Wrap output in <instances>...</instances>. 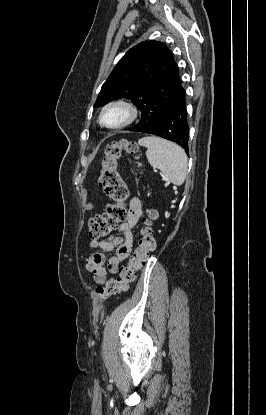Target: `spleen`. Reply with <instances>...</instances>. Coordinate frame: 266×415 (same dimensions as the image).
<instances>
[{
	"label": "spleen",
	"instance_id": "obj_1",
	"mask_svg": "<svg viewBox=\"0 0 266 415\" xmlns=\"http://www.w3.org/2000/svg\"><path fill=\"white\" fill-rule=\"evenodd\" d=\"M138 143L147 148L148 162L161 170L164 181L176 186L184 183L188 161L186 153L179 145L155 136L143 137Z\"/></svg>",
	"mask_w": 266,
	"mask_h": 415
}]
</instances>
